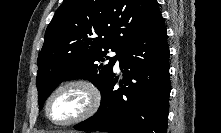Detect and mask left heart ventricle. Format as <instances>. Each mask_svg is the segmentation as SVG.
<instances>
[{
  "label": "left heart ventricle",
  "mask_w": 221,
  "mask_h": 133,
  "mask_svg": "<svg viewBox=\"0 0 221 133\" xmlns=\"http://www.w3.org/2000/svg\"><path fill=\"white\" fill-rule=\"evenodd\" d=\"M86 104L84 92L77 88L66 89L52 100L49 115L54 121H65L79 113Z\"/></svg>",
  "instance_id": "b2bd125f"
}]
</instances>
